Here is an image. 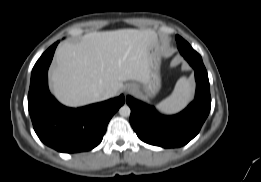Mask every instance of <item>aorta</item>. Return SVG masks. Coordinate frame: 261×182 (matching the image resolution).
<instances>
[{"instance_id":"aorta-1","label":"aorta","mask_w":261,"mask_h":182,"mask_svg":"<svg viewBox=\"0 0 261 182\" xmlns=\"http://www.w3.org/2000/svg\"><path fill=\"white\" fill-rule=\"evenodd\" d=\"M131 113V109L128 105H123L120 109H119V114L122 117H128L130 116Z\"/></svg>"}]
</instances>
